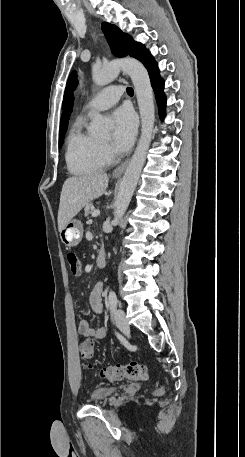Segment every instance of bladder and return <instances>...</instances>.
<instances>
[{
  "instance_id": "obj_1",
  "label": "bladder",
  "mask_w": 245,
  "mask_h": 457,
  "mask_svg": "<svg viewBox=\"0 0 245 457\" xmlns=\"http://www.w3.org/2000/svg\"><path fill=\"white\" fill-rule=\"evenodd\" d=\"M114 391L115 388H97L92 395V399L95 403L103 402L108 399Z\"/></svg>"
}]
</instances>
